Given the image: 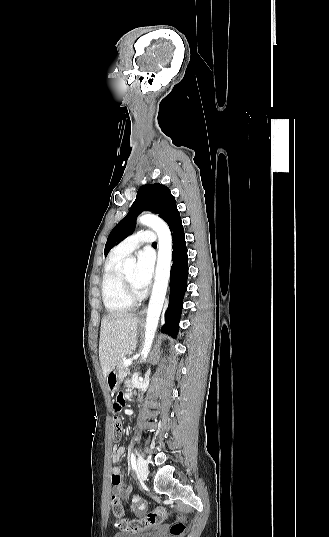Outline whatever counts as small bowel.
<instances>
[{"instance_id":"1","label":"small bowel","mask_w":329,"mask_h":537,"mask_svg":"<svg viewBox=\"0 0 329 537\" xmlns=\"http://www.w3.org/2000/svg\"><path fill=\"white\" fill-rule=\"evenodd\" d=\"M119 395L120 396H116L114 398V404L115 405H114V408L112 409V412L114 414L121 413V411H123L124 408H125V405H124L125 398L123 396L126 395V390L125 389H120L119 390ZM124 453H125V448L124 447L115 446L114 450H113V455H112L113 463H115V464L118 463L121 460V458L123 457ZM124 476H125V473H124L123 469H121L118 466H114L112 468L113 492L119 497L127 498L130 495V488L125 484Z\"/></svg>"}]
</instances>
